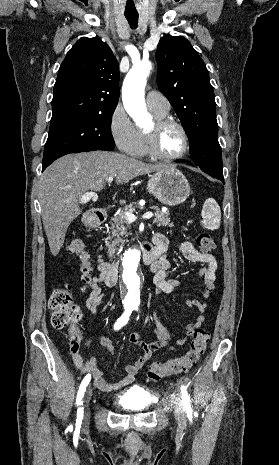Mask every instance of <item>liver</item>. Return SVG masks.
Returning <instances> with one entry per match:
<instances>
[{
	"label": "liver",
	"mask_w": 279,
	"mask_h": 465,
	"mask_svg": "<svg viewBox=\"0 0 279 465\" xmlns=\"http://www.w3.org/2000/svg\"><path fill=\"white\" fill-rule=\"evenodd\" d=\"M164 168L168 166L108 151L68 154L54 161L41 175L38 192L52 255L59 253L69 225L81 214L79 203L87 191H101L109 177H116L117 184H125Z\"/></svg>",
	"instance_id": "6515ba94"
}]
</instances>
